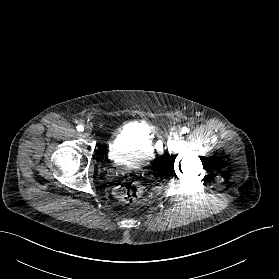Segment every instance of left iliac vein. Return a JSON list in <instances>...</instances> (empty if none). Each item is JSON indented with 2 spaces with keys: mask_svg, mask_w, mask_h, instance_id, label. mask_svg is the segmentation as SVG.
Wrapping results in <instances>:
<instances>
[{
  "mask_svg": "<svg viewBox=\"0 0 279 279\" xmlns=\"http://www.w3.org/2000/svg\"><path fill=\"white\" fill-rule=\"evenodd\" d=\"M182 132L181 130H176L173 134L174 140H179L181 138Z\"/></svg>",
  "mask_w": 279,
  "mask_h": 279,
  "instance_id": "1",
  "label": "left iliac vein"
}]
</instances>
